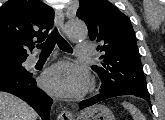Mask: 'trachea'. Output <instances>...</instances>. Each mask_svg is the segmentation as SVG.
Returning <instances> with one entry per match:
<instances>
[{
	"label": "trachea",
	"instance_id": "1",
	"mask_svg": "<svg viewBox=\"0 0 165 120\" xmlns=\"http://www.w3.org/2000/svg\"><path fill=\"white\" fill-rule=\"evenodd\" d=\"M57 43L58 47L63 50L64 52L72 53L73 50L71 46L68 44V42L59 34L57 29H54L50 35L48 36L47 40L37 45L38 49H41V54H50L55 44Z\"/></svg>",
	"mask_w": 165,
	"mask_h": 120
}]
</instances>
